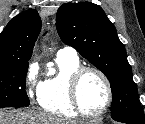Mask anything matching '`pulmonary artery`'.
Returning <instances> with one entry per match:
<instances>
[{"mask_svg": "<svg viewBox=\"0 0 145 124\" xmlns=\"http://www.w3.org/2000/svg\"><path fill=\"white\" fill-rule=\"evenodd\" d=\"M57 56L68 57V58H77V52L72 47H64L57 52Z\"/></svg>", "mask_w": 145, "mask_h": 124, "instance_id": "obj_1", "label": "pulmonary artery"}]
</instances>
